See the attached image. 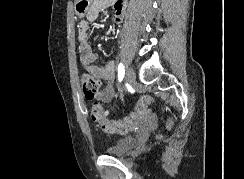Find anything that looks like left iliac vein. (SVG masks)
<instances>
[{"mask_svg":"<svg viewBox=\"0 0 244 179\" xmlns=\"http://www.w3.org/2000/svg\"><path fill=\"white\" fill-rule=\"evenodd\" d=\"M136 79V73L133 68L129 67L126 70V80L129 85H133Z\"/></svg>","mask_w":244,"mask_h":179,"instance_id":"left-iliac-vein-1","label":"left iliac vein"}]
</instances>
